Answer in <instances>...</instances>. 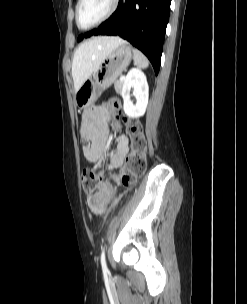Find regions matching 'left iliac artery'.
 Instances as JSON below:
<instances>
[{
	"label": "left iliac artery",
	"instance_id": "left-iliac-artery-1",
	"mask_svg": "<svg viewBox=\"0 0 247 304\" xmlns=\"http://www.w3.org/2000/svg\"><path fill=\"white\" fill-rule=\"evenodd\" d=\"M101 266L104 272H107V265H106V260H105V246L102 248V253H101Z\"/></svg>",
	"mask_w": 247,
	"mask_h": 304
}]
</instances>
